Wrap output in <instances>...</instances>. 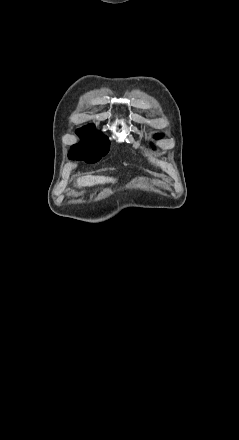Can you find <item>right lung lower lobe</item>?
<instances>
[{"label":"right lung lower lobe","instance_id":"right-lung-lower-lobe-1","mask_svg":"<svg viewBox=\"0 0 239 440\" xmlns=\"http://www.w3.org/2000/svg\"><path fill=\"white\" fill-rule=\"evenodd\" d=\"M106 154L97 152L93 149H80L75 152H70L69 157L77 160H85L87 163H94L101 159Z\"/></svg>","mask_w":239,"mask_h":440}]
</instances>
